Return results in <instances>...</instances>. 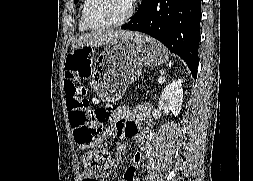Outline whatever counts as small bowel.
<instances>
[{
    "label": "small bowel",
    "instance_id": "c3829d8e",
    "mask_svg": "<svg viewBox=\"0 0 253 181\" xmlns=\"http://www.w3.org/2000/svg\"><path fill=\"white\" fill-rule=\"evenodd\" d=\"M79 72L81 74L78 84L84 86V81L87 79L91 69V61L88 53H80ZM135 111L128 107L117 108L112 116L109 135L113 138L128 136L134 137L140 143L139 130L134 122ZM142 159L140 152H136L133 156V164L128 168L124 177L119 181H135L139 163ZM113 163L110 164L112 166ZM82 181H95L94 177L88 170H83L81 173Z\"/></svg>",
    "mask_w": 253,
    "mask_h": 181
}]
</instances>
